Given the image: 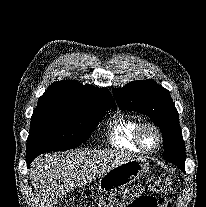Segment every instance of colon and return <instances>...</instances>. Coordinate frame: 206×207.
I'll return each instance as SVG.
<instances>
[{"mask_svg":"<svg viewBox=\"0 0 206 207\" xmlns=\"http://www.w3.org/2000/svg\"><path fill=\"white\" fill-rule=\"evenodd\" d=\"M150 187L153 191L151 195H138L135 188L115 191L92 207H171L174 186L168 173L159 172L150 180Z\"/></svg>","mask_w":206,"mask_h":207,"instance_id":"colon-1","label":"colon"}]
</instances>
